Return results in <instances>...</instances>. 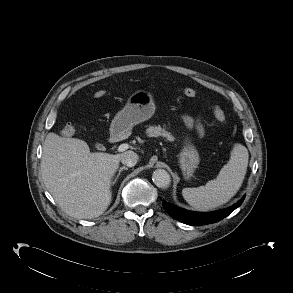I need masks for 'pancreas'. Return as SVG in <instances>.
<instances>
[{
  "mask_svg": "<svg viewBox=\"0 0 293 293\" xmlns=\"http://www.w3.org/2000/svg\"><path fill=\"white\" fill-rule=\"evenodd\" d=\"M147 136L149 137H159L163 136L166 137L169 141H174V137L167 132L164 128H162L160 125L158 126H149L146 130Z\"/></svg>",
  "mask_w": 293,
  "mask_h": 293,
  "instance_id": "cf45deb5",
  "label": "pancreas"
}]
</instances>
